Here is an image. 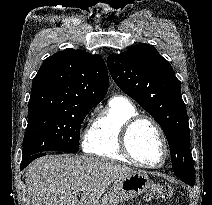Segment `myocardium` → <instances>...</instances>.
Wrapping results in <instances>:
<instances>
[{
    "mask_svg": "<svg viewBox=\"0 0 212 205\" xmlns=\"http://www.w3.org/2000/svg\"><path fill=\"white\" fill-rule=\"evenodd\" d=\"M141 122H148L149 124H151L154 127V129L157 131V133L161 139L162 146H163V157L159 163L149 164V163L142 162L132 152V149L130 146V136H131L132 130L135 128V126H137ZM120 148H121L122 153L128 159H130L134 164L141 166V167H145V168H158V167L162 166L165 163V161L167 160L168 153H169L166 135H165L163 129L161 128V126L158 124V122L156 120H154L152 117H149L146 115H139V114L130 118L123 125L121 132H120Z\"/></svg>",
    "mask_w": 212,
    "mask_h": 205,
    "instance_id": "f54148a6",
    "label": "myocardium"
}]
</instances>
